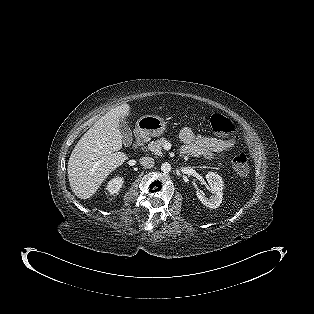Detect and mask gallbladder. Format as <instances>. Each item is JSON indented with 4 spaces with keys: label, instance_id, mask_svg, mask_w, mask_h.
<instances>
[{
    "label": "gallbladder",
    "instance_id": "gallbladder-1",
    "mask_svg": "<svg viewBox=\"0 0 314 314\" xmlns=\"http://www.w3.org/2000/svg\"><path fill=\"white\" fill-rule=\"evenodd\" d=\"M119 130H120L121 135H122L123 144L125 146H130L132 141H133L132 131H131L130 127L128 126V123L126 122L125 119L120 120Z\"/></svg>",
    "mask_w": 314,
    "mask_h": 314
}]
</instances>
